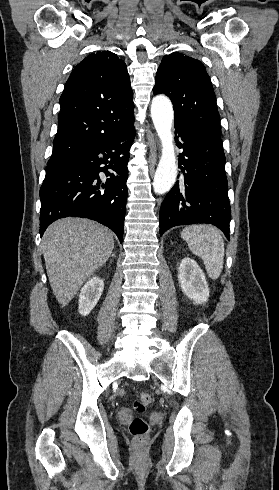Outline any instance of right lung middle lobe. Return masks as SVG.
Segmentation results:
<instances>
[{"label": "right lung middle lobe", "mask_w": 279, "mask_h": 490, "mask_svg": "<svg viewBox=\"0 0 279 490\" xmlns=\"http://www.w3.org/2000/svg\"><path fill=\"white\" fill-rule=\"evenodd\" d=\"M59 164H48L46 167V175L52 173L56 169H58Z\"/></svg>", "instance_id": "obj_1"}]
</instances>
